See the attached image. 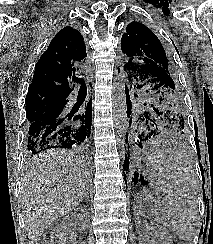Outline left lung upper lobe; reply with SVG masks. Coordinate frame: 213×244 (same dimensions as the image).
I'll return each mask as SVG.
<instances>
[{"label":"left lung upper lobe","mask_w":213,"mask_h":244,"mask_svg":"<svg viewBox=\"0 0 213 244\" xmlns=\"http://www.w3.org/2000/svg\"><path fill=\"white\" fill-rule=\"evenodd\" d=\"M121 50L127 105L132 106L130 92L138 98L141 112L166 133L185 135V106L176 68L158 37L144 24L132 22L121 38Z\"/></svg>","instance_id":"5c2ea615"}]
</instances>
